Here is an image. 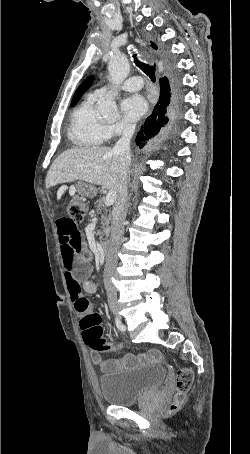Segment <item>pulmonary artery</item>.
I'll return each instance as SVG.
<instances>
[{
	"mask_svg": "<svg viewBox=\"0 0 250 454\" xmlns=\"http://www.w3.org/2000/svg\"><path fill=\"white\" fill-rule=\"evenodd\" d=\"M143 87V80L139 76H133L128 78L126 81H124L120 86L119 89L124 90V91H136L139 90ZM111 86L110 85H104L96 90H94L90 96H92L95 99H99L103 97L109 90Z\"/></svg>",
	"mask_w": 250,
	"mask_h": 454,
	"instance_id": "pulmonary-artery-1",
	"label": "pulmonary artery"
}]
</instances>
